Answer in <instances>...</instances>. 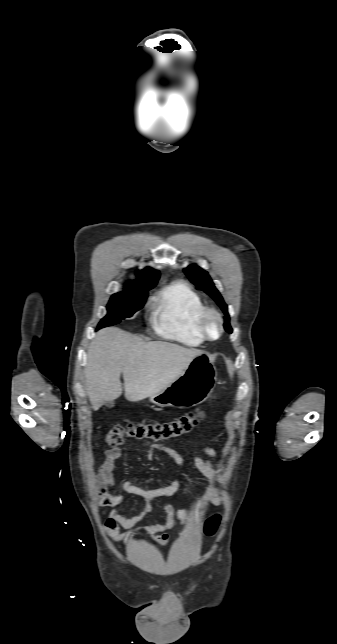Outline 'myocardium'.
Segmentation results:
<instances>
[{"mask_svg":"<svg viewBox=\"0 0 337 644\" xmlns=\"http://www.w3.org/2000/svg\"><path fill=\"white\" fill-rule=\"evenodd\" d=\"M213 322L216 326V335H211L209 331V324ZM198 329L205 340L215 341L219 339L223 333V319L221 314L214 308L205 307L201 312L198 322Z\"/></svg>","mask_w":337,"mask_h":644,"instance_id":"obj_1","label":"myocardium"}]
</instances>
